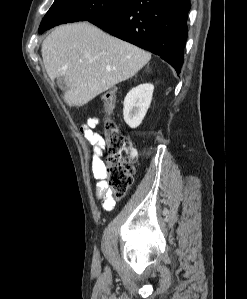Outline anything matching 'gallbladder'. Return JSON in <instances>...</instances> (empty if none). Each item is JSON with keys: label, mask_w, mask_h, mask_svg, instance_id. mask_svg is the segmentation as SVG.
Returning <instances> with one entry per match:
<instances>
[{"label": "gallbladder", "mask_w": 247, "mask_h": 299, "mask_svg": "<svg viewBox=\"0 0 247 299\" xmlns=\"http://www.w3.org/2000/svg\"><path fill=\"white\" fill-rule=\"evenodd\" d=\"M57 85L59 87L60 90L62 91H66L67 90V84L65 82V78L64 77H58L57 78Z\"/></svg>", "instance_id": "obj_1"}]
</instances>
